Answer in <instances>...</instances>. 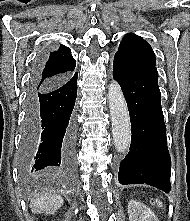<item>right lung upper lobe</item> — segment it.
Segmentation results:
<instances>
[{
	"mask_svg": "<svg viewBox=\"0 0 190 221\" xmlns=\"http://www.w3.org/2000/svg\"><path fill=\"white\" fill-rule=\"evenodd\" d=\"M75 66L71 50L60 45L57 51L50 52L46 63L39 69L37 83L43 85L63 81L72 76Z\"/></svg>",
	"mask_w": 190,
	"mask_h": 221,
	"instance_id": "cb5924a9",
	"label": "right lung upper lobe"
}]
</instances>
